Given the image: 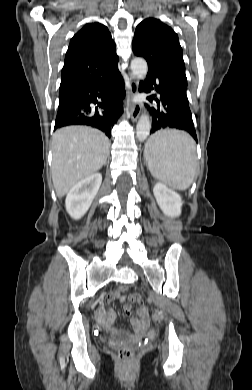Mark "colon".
Here are the masks:
<instances>
[{"label": "colon", "instance_id": "1", "mask_svg": "<svg viewBox=\"0 0 252 390\" xmlns=\"http://www.w3.org/2000/svg\"><path fill=\"white\" fill-rule=\"evenodd\" d=\"M121 290H124V288H122ZM130 298L133 301L140 300V296L138 294H132ZM134 355H135V348L131 345H123L117 351V357L121 363H128L132 361Z\"/></svg>", "mask_w": 252, "mask_h": 390}]
</instances>
